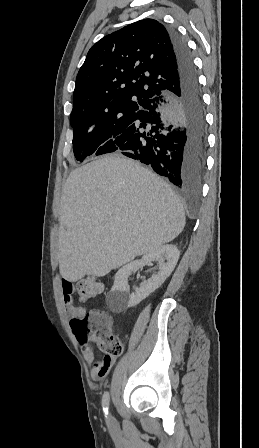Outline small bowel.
<instances>
[{"label":"small bowel","mask_w":259,"mask_h":448,"mask_svg":"<svg viewBox=\"0 0 259 448\" xmlns=\"http://www.w3.org/2000/svg\"><path fill=\"white\" fill-rule=\"evenodd\" d=\"M62 292L64 297V303L67 310L68 315L71 318V322L77 318H81L85 314V309L82 306L76 305L73 302L72 293H73V284L66 279H62L61 281ZM82 351L84 355V359L88 364H93L95 361V351L89 344L82 345ZM115 362V357L104 356L103 359L94 363V366L91 370L90 376L93 381H99L106 377L110 372L113 364Z\"/></svg>","instance_id":"obj_1"}]
</instances>
